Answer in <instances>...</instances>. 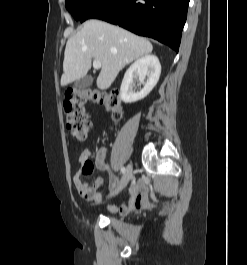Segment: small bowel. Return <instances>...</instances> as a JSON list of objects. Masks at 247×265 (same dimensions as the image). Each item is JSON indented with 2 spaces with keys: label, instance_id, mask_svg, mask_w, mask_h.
Returning <instances> with one entry per match:
<instances>
[{
  "label": "small bowel",
  "instance_id": "obj_1",
  "mask_svg": "<svg viewBox=\"0 0 247 265\" xmlns=\"http://www.w3.org/2000/svg\"><path fill=\"white\" fill-rule=\"evenodd\" d=\"M91 156V149H84L79 156V163L81 170H79L73 177V184L79 193V195L87 201H94L99 203L102 199L101 188L103 186V179L97 177L92 185L85 183L82 180L83 174H88L85 171V167L90 163L89 158ZM95 167L104 172L109 173V188L115 190L119 185V180L112 172L109 164L106 162V151L100 149L94 159ZM151 204L147 192H141L137 185H132L129 191L127 200L119 207L108 205L107 209L111 213H118L121 215H127L134 210L144 209Z\"/></svg>",
  "mask_w": 247,
  "mask_h": 265
}]
</instances>
